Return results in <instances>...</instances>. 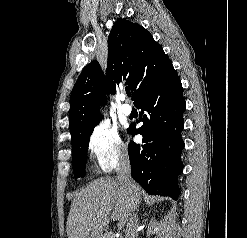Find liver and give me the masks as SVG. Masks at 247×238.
Masks as SVG:
<instances>
[{
	"instance_id": "liver-1",
	"label": "liver",
	"mask_w": 247,
	"mask_h": 238,
	"mask_svg": "<svg viewBox=\"0 0 247 238\" xmlns=\"http://www.w3.org/2000/svg\"><path fill=\"white\" fill-rule=\"evenodd\" d=\"M135 193L140 201V188ZM131 198L117 179L101 178L76 193L67 220L68 238H101L104 227L111 219L118 220L122 229L132 213Z\"/></svg>"
}]
</instances>
